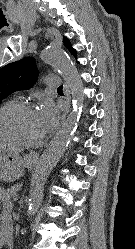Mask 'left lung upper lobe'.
Here are the masks:
<instances>
[{
	"label": "left lung upper lobe",
	"instance_id": "1",
	"mask_svg": "<svg viewBox=\"0 0 135 249\" xmlns=\"http://www.w3.org/2000/svg\"><path fill=\"white\" fill-rule=\"evenodd\" d=\"M64 45L76 57V50L72 48L70 41L66 37H64ZM38 74L39 72L35 67V60L32 57H25L1 68L0 102L17 90L32 87L37 80Z\"/></svg>",
	"mask_w": 135,
	"mask_h": 249
}]
</instances>
